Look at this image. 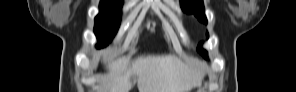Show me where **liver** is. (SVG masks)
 <instances>
[{
  "label": "liver",
  "instance_id": "obj_1",
  "mask_svg": "<svg viewBox=\"0 0 296 92\" xmlns=\"http://www.w3.org/2000/svg\"><path fill=\"white\" fill-rule=\"evenodd\" d=\"M106 68L104 92H129L136 81L139 92H188L203 79L206 64L174 55H141L120 57Z\"/></svg>",
  "mask_w": 296,
  "mask_h": 92
}]
</instances>
